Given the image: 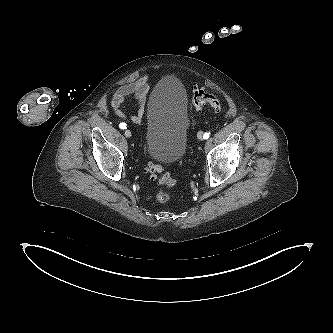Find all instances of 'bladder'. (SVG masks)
Masks as SVG:
<instances>
[{
	"label": "bladder",
	"instance_id": "bladder-1",
	"mask_svg": "<svg viewBox=\"0 0 333 333\" xmlns=\"http://www.w3.org/2000/svg\"><path fill=\"white\" fill-rule=\"evenodd\" d=\"M188 97L179 78L168 75L153 88L146 111L145 143L151 157L175 163L186 153Z\"/></svg>",
	"mask_w": 333,
	"mask_h": 333
}]
</instances>
